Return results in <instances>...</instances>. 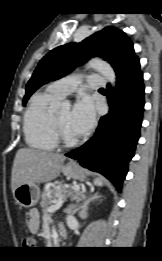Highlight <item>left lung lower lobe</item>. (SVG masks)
Wrapping results in <instances>:
<instances>
[{"label":"left lung lower lobe","instance_id":"0a47b994","mask_svg":"<svg viewBox=\"0 0 162 261\" xmlns=\"http://www.w3.org/2000/svg\"><path fill=\"white\" fill-rule=\"evenodd\" d=\"M116 89L107 88L110 116H103L94 136L67 154L79 163L108 178L121 192L128 163L140 137L144 110L143 73L140 61L128 65L117 75ZM108 123V125H107Z\"/></svg>","mask_w":162,"mask_h":261}]
</instances>
